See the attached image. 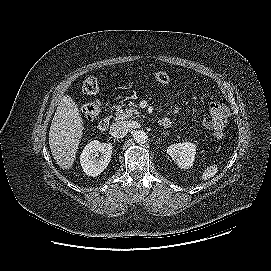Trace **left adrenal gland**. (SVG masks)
I'll use <instances>...</instances> for the list:
<instances>
[{
	"label": "left adrenal gland",
	"mask_w": 271,
	"mask_h": 271,
	"mask_svg": "<svg viewBox=\"0 0 271 271\" xmlns=\"http://www.w3.org/2000/svg\"><path fill=\"white\" fill-rule=\"evenodd\" d=\"M162 135H167V133H162Z\"/></svg>",
	"instance_id": "1"
}]
</instances>
